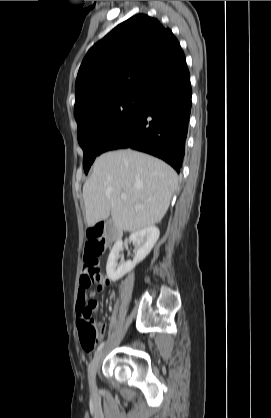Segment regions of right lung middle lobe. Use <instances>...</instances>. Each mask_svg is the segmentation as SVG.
I'll use <instances>...</instances> for the list:
<instances>
[{
  "label": "right lung middle lobe",
  "instance_id": "dd1d6c3e",
  "mask_svg": "<svg viewBox=\"0 0 271 418\" xmlns=\"http://www.w3.org/2000/svg\"><path fill=\"white\" fill-rule=\"evenodd\" d=\"M148 99L132 93L120 94L75 115L86 174L108 135L142 108Z\"/></svg>",
  "mask_w": 271,
  "mask_h": 418
}]
</instances>
